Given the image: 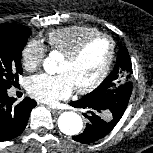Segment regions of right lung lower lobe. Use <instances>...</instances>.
I'll use <instances>...</instances> for the list:
<instances>
[{
  "mask_svg": "<svg viewBox=\"0 0 153 153\" xmlns=\"http://www.w3.org/2000/svg\"><path fill=\"white\" fill-rule=\"evenodd\" d=\"M15 101L8 96L7 90L0 89V141L19 136L27 125L31 110L37 105L28 97L18 104Z\"/></svg>",
  "mask_w": 153,
  "mask_h": 153,
  "instance_id": "right-lung-lower-lobe-1",
  "label": "right lung lower lobe"
}]
</instances>
